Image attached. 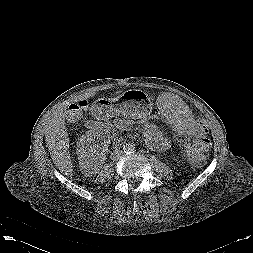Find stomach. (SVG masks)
<instances>
[{
  "label": "stomach",
  "mask_w": 253,
  "mask_h": 253,
  "mask_svg": "<svg viewBox=\"0 0 253 253\" xmlns=\"http://www.w3.org/2000/svg\"><path fill=\"white\" fill-rule=\"evenodd\" d=\"M153 109V103L142 90L130 89L116 98L98 99L94 110L103 118L112 114L121 115L133 119L147 117Z\"/></svg>",
  "instance_id": "stomach-1"
}]
</instances>
